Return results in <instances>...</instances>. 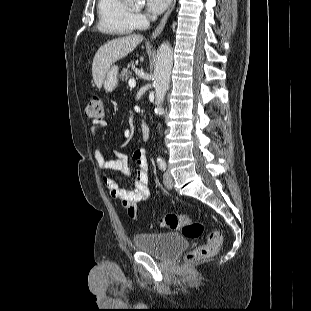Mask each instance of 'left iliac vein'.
Listing matches in <instances>:
<instances>
[{"instance_id":"1","label":"left iliac vein","mask_w":311,"mask_h":311,"mask_svg":"<svg viewBox=\"0 0 311 311\" xmlns=\"http://www.w3.org/2000/svg\"><path fill=\"white\" fill-rule=\"evenodd\" d=\"M163 183L167 189H172L173 179L169 171H165L163 175Z\"/></svg>"}]
</instances>
